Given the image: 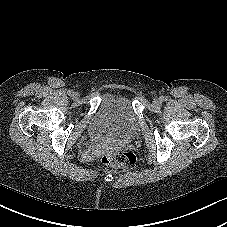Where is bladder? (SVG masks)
Segmentation results:
<instances>
[{
    "label": "bladder",
    "instance_id": "1",
    "mask_svg": "<svg viewBox=\"0 0 227 227\" xmlns=\"http://www.w3.org/2000/svg\"><path fill=\"white\" fill-rule=\"evenodd\" d=\"M90 129L99 139L128 141L140 133V122L128 98L107 94L94 113Z\"/></svg>",
    "mask_w": 227,
    "mask_h": 227
}]
</instances>
